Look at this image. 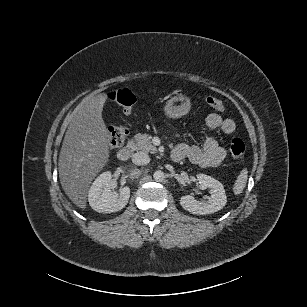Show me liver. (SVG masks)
Returning <instances> with one entry per match:
<instances>
[{
  "instance_id": "liver-1",
  "label": "liver",
  "mask_w": 307,
  "mask_h": 307,
  "mask_svg": "<svg viewBox=\"0 0 307 307\" xmlns=\"http://www.w3.org/2000/svg\"><path fill=\"white\" fill-rule=\"evenodd\" d=\"M106 100V94L86 98L66 118L59 178L66 195L83 210L89 186L109 158L108 133L102 118Z\"/></svg>"
}]
</instances>
